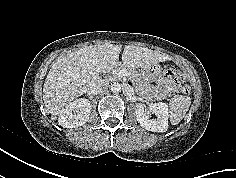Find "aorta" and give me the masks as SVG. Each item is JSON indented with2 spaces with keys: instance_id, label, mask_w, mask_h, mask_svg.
<instances>
[{
  "instance_id": "obj_1",
  "label": "aorta",
  "mask_w": 236,
  "mask_h": 178,
  "mask_svg": "<svg viewBox=\"0 0 236 178\" xmlns=\"http://www.w3.org/2000/svg\"><path fill=\"white\" fill-rule=\"evenodd\" d=\"M122 90V86L120 83L118 82H114L113 84H111V92L114 94L119 93Z\"/></svg>"
}]
</instances>
